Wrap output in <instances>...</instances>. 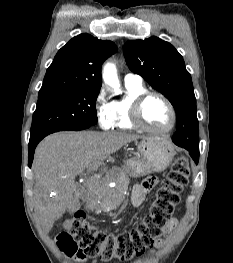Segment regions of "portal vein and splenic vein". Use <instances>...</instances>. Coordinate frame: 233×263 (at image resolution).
<instances>
[{
  "label": "portal vein and splenic vein",
  "mask_w": 233,
  "mask_h": 263,
  "mask_svg": "<svg viewBox=\"0 0 233 263\" xmlns=\"http://www.w3.org/2000/svg\"><path fill=\"white\" fill-rule=\"evenodd\" d=\"M97 166H98V165H94V166L91 168V170H94V169H96V168H97Z\"/></svg>",
  "instance_id": "18ae733b"
}]
</instances>
